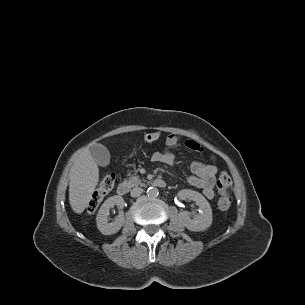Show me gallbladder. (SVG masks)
<instances>
[{"instance_id": "gallbladder-1", "label": "gallbladder", "mask_w": 305, "mask_h": 305, "mask_svg": "<svg viewBox=\"0 0 305 305\" xmlns=\"http://www.w3.org/2000/svg\"><path fill=\"white\" fill-rule=\"evenodd\" d=\"M89 150L98 165L106 167L110 164V153L105 146L102 144H93Z\"/></svg>"}]
</instances>
